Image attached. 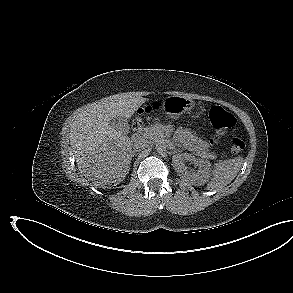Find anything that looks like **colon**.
I'll return each instance as SVG.
<instances>
[{
	"mask_svg": "<svg viewBox=\"0 0 293 293\" xmlns=\"http://www.w3.org/2000/svg\"><path fill=\"white\" fill-rule=\"evenodd\" d=\"M152 110L151 107L143 109V113H148ZM209 119L216 131L215 140H219L236 124L235 116L223 109L220 106H214L209 112ZM140 124L139 120H136L134 126L137 127ZM245 148V143L240 139H233L230 144V151L232 154H238Z\"/></svg>",
	"mask_w": 293,
	"mask_h": 293,
	"instance_id": "5ec220e1",
	"label": "colon"
}]
</instances>
